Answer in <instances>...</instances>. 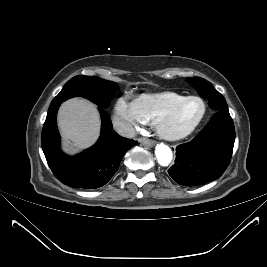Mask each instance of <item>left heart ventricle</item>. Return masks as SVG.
Instances as JSON below:
<instances>
[{"label":"left heart ventricle","mask_w":267,"mask_h":267,"mask_svg":"<svg viewBox=\"0 0 267 267\" xmlns=\"http://www.w3.org/2000/svg\"><path fill=\"white\" fill-rule=\"evenodd\" d=\"M202 103L198 100H189L179 111L165 124L171 132H181L190 127L202 113Z\"/></svg>","instance_id":"obj_1"}]
</instances>
